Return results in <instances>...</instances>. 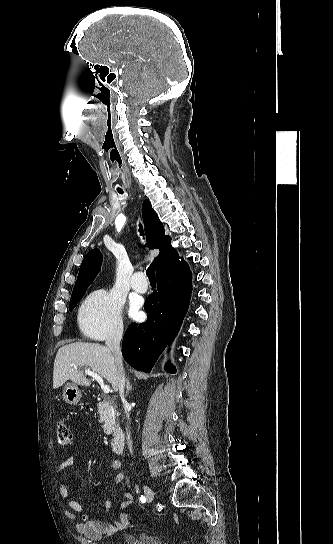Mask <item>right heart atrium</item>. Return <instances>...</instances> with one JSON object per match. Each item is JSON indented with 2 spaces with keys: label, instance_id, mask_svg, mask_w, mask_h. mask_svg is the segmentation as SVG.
I'll return each instance as SVG.
<instances>
[{
  "label": "right heart atrium",
  "instance_id": "right-heart-atrium-1",
  "mask_svg": "<svg viewBox=\"0 0 333 544\" xmlns=\"http://www.w3.org/2000/svg\"><path fill=\"white\" fill-rule=\"evenodd\" d=\"M82 332L94 340L120 338L123 334V300L111 289L91 293L79 311Z\"/></svg>",
  "mask_w": 333,
  "mask_h": 544
}]
</instances>
